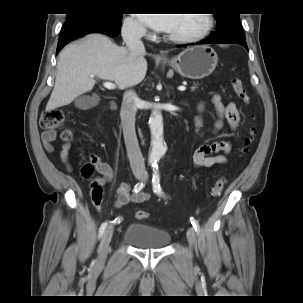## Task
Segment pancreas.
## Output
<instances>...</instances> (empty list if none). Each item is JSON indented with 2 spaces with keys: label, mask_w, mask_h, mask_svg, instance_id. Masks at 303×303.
<instances>
[{
  "label": "pancreas",
  "mask_w": 303,
  "mask_h": 303,
  "mask_svg": "<svg viewBox=\"0 0 303 303\" xmlns=\"http://www.w3.org/2000/svg\"><path fill=\"white\" fill-rule=\"evenodd\" d=\"M198 88V84H194L192 87H191V90L194 91L195 89Z\"/></svg>",
  "instance_id": "1"
}]
</instances>
